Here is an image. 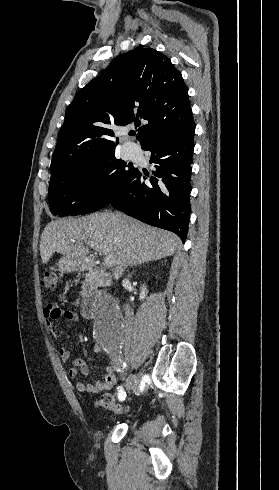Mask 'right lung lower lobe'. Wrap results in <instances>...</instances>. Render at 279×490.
I'll use <instances>...</instances> for the list:
<instances>
[{
  "mask_svg": "<svg viewBox=\"0 0 279 490\" xmlns=\"http://www.w3.org/2000/svg\"><path fill=\"white\" fill-rule=\"evenodd\" d=\"M195 124L170 135L147 143L143 150L151 151L150 162L157 164L150 183L137 171L108 201L149 225L176 233L184 242L190 218V178L194 150Z\"/></svg>",
  "mask_w": 279,
  "mask_h": 490,
  "instance_id": "right-lung-lower-lobe-1",
  "label": "right lung lower lobe"
}]
</instances>
